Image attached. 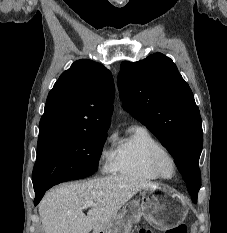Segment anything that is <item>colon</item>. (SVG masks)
Masks as SVG:
<instances>
[{"label":"colon","mask_w":227,"mask_h":233,"mask_svg":"<svg viewBox=\"0 0 227 233\" xmlns=\"http://www.w3.org/2000/svg\"><path fill=\"white\" fill-rule=\"evenodd\" d=\"M139 233H155L153 230L149 228H143L139 231ZM165 233H187L185 225L176 226L170 230H167Z\"/></svg>","instance_id":"5ec220e1"}]
</instances>
